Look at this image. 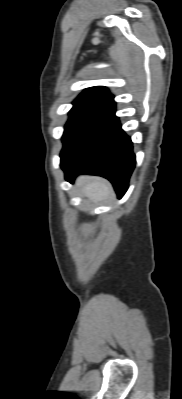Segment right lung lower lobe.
<instances>
[{
  "instance_id": "98d812e1",
  "label": "right lung lower lobe",
  "mask_w": 182,
  "mask_h": 399,
  "mask_svg": "<svg viewBox=\"0 0 182 399\" xmlns=\"http://www.w3.org/2000/svg\"><path fill=\"white\" fill-rule=\"evenodd\" d=\"M63 143L60 166L67 181L82 173L99 175L112 182L118 198L124 195L136 161L114 102L82 121Z\"/></svg>"
}]
</instances>
